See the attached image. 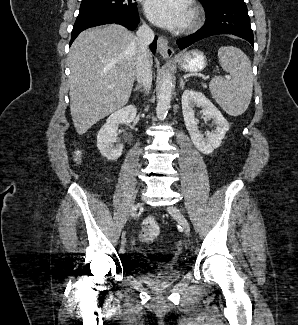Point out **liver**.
<instances>
[{
    "mask_svg": "<svg viewBox=\"0 0 298 325\" xmlns=\"http://www.w3.org/2000/svg\"><path fill=\"white\" fill-rule=\"evenodd\" d=\"M138 52L137 36L121 24L87 28L75 38L69 52V94L78 134L127 104Z\"/></svg>",
    "mask_w": 298,
    "mask_h": 325,
    "instance_id": "liver-1",
    "label": "liver"
}]
</instances>
